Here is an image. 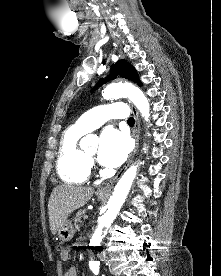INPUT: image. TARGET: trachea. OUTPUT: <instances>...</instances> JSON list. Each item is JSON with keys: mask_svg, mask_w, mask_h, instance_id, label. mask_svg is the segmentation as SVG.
Returning a JSON list of instances; mask_svg holds the SVG:
<instances>
[{"mask_svg": "<svg viewBox=\"0 0 221 276\" xmlns=\"http://www.w3.org/2000/svg\"><path fill=\"white\" fill-rule=\"evenodd\" d=\"M135 123V120H134V118H132V117H130L129 119H128V124H134Z\"/></svg>", "mask_w": 221, "mask_h": 276, "instance_id": "3493384b", "label": "trachea"}]
</instances>
